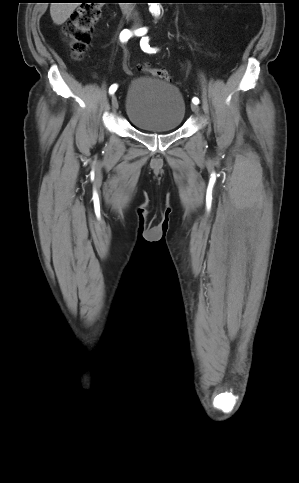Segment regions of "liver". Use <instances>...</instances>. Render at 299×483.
Returning <instances> with one entry per match:
<instances>
[{
	"label": "liver",
	"mask_w": 299,
	"mask_h": 483,
	"mask_svg": "<svg viewBox=\"0 0 299 483\" xmlns=\"http://www.w3.org/2000/svg\"><path fill=\"white\" fill-rule=\"evenodd\" d=\"M79 3H51L50 15L56 25H62Z\"/></svg>",
	"instance_id": "obj_1"
}]
</instances>
